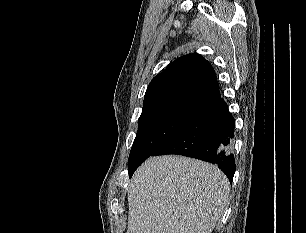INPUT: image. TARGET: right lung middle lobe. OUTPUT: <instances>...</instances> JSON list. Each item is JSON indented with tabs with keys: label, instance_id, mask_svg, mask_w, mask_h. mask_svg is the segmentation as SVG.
I'll return each instance as SVG.
<instances>
[{
	"label": "right lung middle lobe",
	"instance_id": "dd1d6c3e",
	"mask_svg": "<svg viewBox=\"0 0 306 233\" xmlns=\"http://www.w3.org/2000/svg\"><path fill=\"white\" fill-rule=\"evenodd\" d=\"M202 109L204 107L182 100L158 101L143 106L129 155L128 172L135 171Z\"/></svg>",
	"mask_w": 306,
	"mask_h": 233
}]
</instances>
